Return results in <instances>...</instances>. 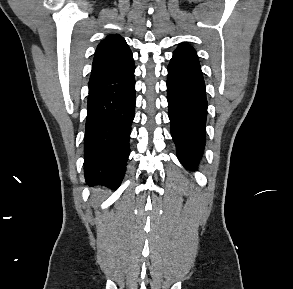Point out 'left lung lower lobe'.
Listing matches in <instances>:
<instances>
[{
    "instance_id": "obj_1",
    "label": "left lung lower lobe",
    "mask_w": 293,
    "mask_h": 289,
    "mask_svg": "<svg viewBox=\"0 0 293 289\" xmlns=\"http://www.w3.org/2000/svg\"><path fill=\"white\" fill-rule=\"evenodd\" d=\"M167 99L178 159L194 170L204 151L207 117L205 83L197 55L173 53L168 66Z\"/></svg>"
}]
</instances>
